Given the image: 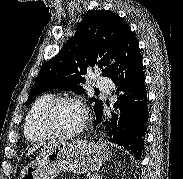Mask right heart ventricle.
Segmentation results:
<instances>
[{"label":"right heart ventricle","mask_w":183,"mask_h":179,"mask_svg":"<svg viewBox=\"0 0 183 179\" xmlns=\"http://www.w3.org/2000/svg\"><path fill=\"white\" fill-rule=\"evenodd\" d=\"M53 98L54 96L52 94H43L38 97L31 106L24 126V133L29 140L40 142L49 138L42 132L39 126V118L43 108Z\"/></svg>","instance_id":"e07e8e85"}]
</instances>
